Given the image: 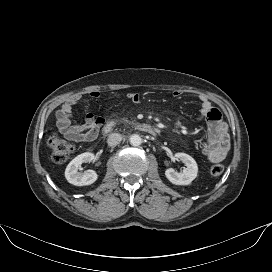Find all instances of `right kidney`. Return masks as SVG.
Here are the masks:
<instances>
[{"instance_id": "1", "label": "right kidney", "mask_w": 272, "mask_h": 272, "mask_svg": "<svg viewBox=\"0 0 272 272\" xmlns=\"http://www.w3.org/2000/svg\"><path fill=\"white\" fill-rule=\"evenodd\" d=\"M95 160L93 153L85 152L76 156L66 167L65 177L67 181L76 186H86L93 184L98 175L93 170H86L83 173L78 172L82 163H90Z\"/></svg>"}]
</instances>
